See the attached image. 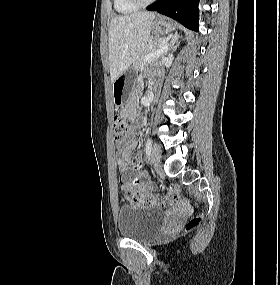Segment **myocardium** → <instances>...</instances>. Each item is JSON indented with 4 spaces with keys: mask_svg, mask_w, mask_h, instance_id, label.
<instances>
[{
    "mask_svg": "<svg viewBox=\"0 0 280 285\" xmlns=\"http://www.w3.org/2000/svg\"><path fill=\"white\" fill-rule=\"evenodd\" d=\"M129 1L136 4L139 7V6H145V5L151 4L156 0H129Z\"/></svg>",
    "mask_w": 280,
    "mask_h": 285,
    "instance_id": "1",
    "label": "myocardium"
}]
</instances>
